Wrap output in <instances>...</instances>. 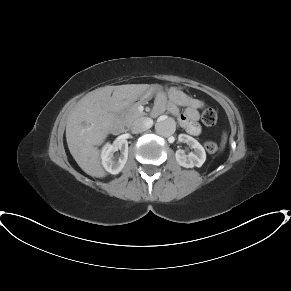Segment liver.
<instances>
[{
    "label": "liver",
    "mask_w": 291,
    "mask_h": 291,
    "mask_svg": "<svg viewBox=\"0 0 291 291\" xmlns=\"http://www.w3.org/2000/svg\"><path fill=\"white\" fill-rule=\"evenodd\" d=\"M148 84L105 86L81 98L67 117L66 140L79 167L88 175L107 174L100 161L101 145L115 124L114 113L140 98Z\"/></svg>",
    "instance_id": "liver-1"
}]
</instances>
